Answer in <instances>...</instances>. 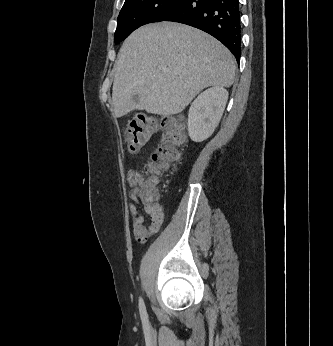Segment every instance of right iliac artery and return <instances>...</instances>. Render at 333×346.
I'll list each match as a JSON object with an SVG mask.
<instances>
[{"mask_svg": "<svg viewBox=\"0 0 333 346\" xmlns=\"http://www.w3.org/2000/svg\"><path fill=\"white\" fill-rule=\"evenodd\" d=\"M139 312H140L143 328L145 330H148L149 328L148 314H147L145 304L142 298H139Z\"/></svg>", "mask_w": 333, "mask_h": 346, "instance_id": "82829eb1", "label": "right iliac artery"}]
</instances>
